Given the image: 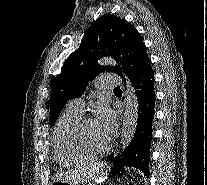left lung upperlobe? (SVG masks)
I'll list each match as a JSON object with an SVG mask.
<instances>
[{
	"label": "left lung upper lobe",
	"instance_id": "5c2ea615",
	"mask_svg": "<svg viewBox=\"0 0 207 185\" xmlns=\"http://www.w3.org/2000/svg\"><path fill=\"white\" fill-rule=\"evenodd\" d=\"M104 56L115 58L129 79L151 66L139 32L125 19L104 14L91 24L79 48L68 57L62 72L51 82V126L65 103L81 96L88 81L104 71L121 75L118 66H101L97 63V59Z\"/></svg>",
	"mask_w": 207,
	"mask_h": 185
}]
</instances>
